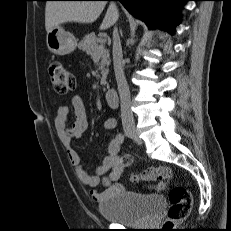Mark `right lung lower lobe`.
<instances>
[{
	"mask_svg": "<svg viewBox=\"0 0 231 231\" xmlns=\"http://www.w3.org/2000/svg\"><path fill=\"white\" fill-rule=\"evenodd\" d=\"M111 1V0H105ZM120 1L136 18L149 28H162L173 33L179 24L181 5L188 0H113Z\"/></svg>",
	"mask_w": 231,
	"mask_h": 231,
	"instance_id": "right-lung-lower-lobe-1",
	"label": "right lung lower lobe"
}]
</instances>
